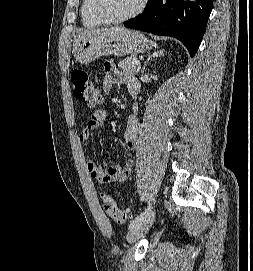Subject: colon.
Returning <instances> with one entry per match:
<instances>
[{
	"label": "colon",
	"mask_w": 253,
	"mask_h": 271,
	"mask_svg": "<svg viewBox=\"0 0 253 271\" xmlns=\"http://www.w3.org/2000/svg\"><path fill=\"white\" fill-rule=\"evenodd\" d=\"M71 82L74 95L79 100L92 108L101 103L102 96L85 71L74 70L71 74ZM102 204L107 215L116 223L122 224L129 220V213L121 210L110 195H102Z\"/></svg>",
	"instance_id": "obj_1"
}]
</instances>
